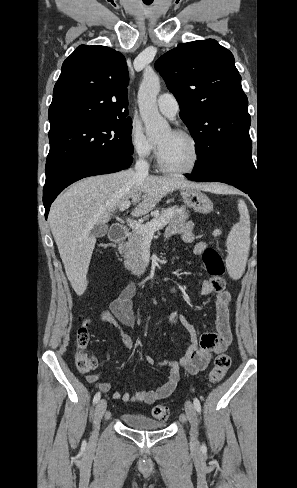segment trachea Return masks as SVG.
<instances>
[{
    "mask_svg": "<svg viewBox=\"0 0 297 488\" xmlns=\"http://www.w3.org/2000/svg\"><path fill=\"white\" fill-rule=\"evenodd\" d=\"M144 2H145L147 5H149V4L151 3V2H150V0H144Z\"/></svg>",
    "mask_w": 297,
    "mask_h": 488,
    "instance_id": "3493384b",
    "label": "trachea"
}]
</instances>
